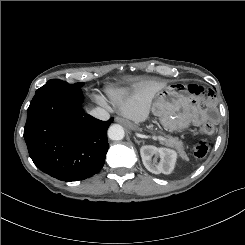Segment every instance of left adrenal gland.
<instances>
[{
    "label": "left adrenal gland",
    "instance_id": "left-adrenal-gland-1",
    "mask_svg": "<svg viewBox=\"0 0 245 245\" xmlns=\"http://www.w3.org/2000/svg\"><path fill=\"white\" fill-rule=\"evenodd\" d=\"M134 139H135V142H136V143H138V144L140 143V141H138L136 138H134Z\"/></svg>",
    "mask_w": 245,
    "mask_h": 245
}]
</instances>
